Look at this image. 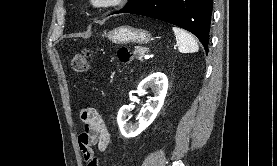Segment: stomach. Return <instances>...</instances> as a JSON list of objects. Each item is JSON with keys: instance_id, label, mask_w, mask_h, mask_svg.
Returning a JSON list of instances; mask_svg holds the SVG:
<instances>
[{"instance_id": "obj_1", "label": "stomach", "mask_w": 277, "mask_h": 166, "mask_svg": "<svg viewBox=\"0 0 277 166\" xmlns=\"http://www.w3.org/2000/svg\"><path fill=\"white\" fill-rule=\"evenodd\" d=\"M106 37L115 44L139 43L144 44L150 41V33L143 29L130 26H119L106 34Z\"/></svg>"}]
</instances>
